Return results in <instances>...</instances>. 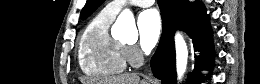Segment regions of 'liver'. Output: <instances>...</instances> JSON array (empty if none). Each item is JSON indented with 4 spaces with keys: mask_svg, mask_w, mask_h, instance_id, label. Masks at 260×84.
Segmentation results:
<instances>
[{
    "mask_svg": "<svg viewBox=\"0 0 260 84\" xmlns=\"http://www.w3.org/2000/svg\"><path fill=\"white\" fill-rule=\"evenodd\" d=\"M87 84H147L144 81H140V78L136 74L119 75L114 77L103 78L97 81L87 80Z\"/></svg>",
    "mask_w": 260,
    "mask_h": 84,
    "instance_id": "6515ba94",
    "label": "liver"
}]
</instances>
